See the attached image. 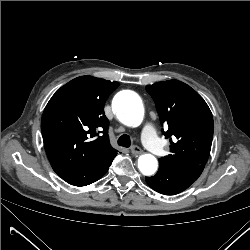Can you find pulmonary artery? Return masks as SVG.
Segmentation results:
<instances>
[{
  "mask_svg": "<svg viewBox=\"0 0 250 250\" xmlns=\"http://www.w3.org/2000/svg\"><path fill=\"white\" fill-rule=\"evenodd\" d=\"M142 139L147 149L155 156L163 154V146L151 126H146L142 130Z\"/></svg>",
  "mask_w": 250,
  "mask_h": 250,
  "instance_id": "obj_1",
  "label": "pulmonary artery"
}]
</instances>
